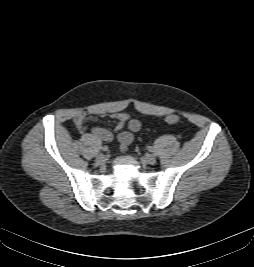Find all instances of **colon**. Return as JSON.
<instances>
[{
	"mask_svg": "<svg viewBox=\"0 0 254 267\" xmlns=\"http://www.w3.org/2000/svg\"><path fill=\"white\" fill-rule=\"evenodd\" d=\"M165 121L168 124H175L179 121V117L175 114H170V115L166 116Z\"/></svg>",
	"mask_w": 254,
	"mask_h": 267,
	"instance_id": "obj_1",
	"label": "colon"
}]
</instances>
